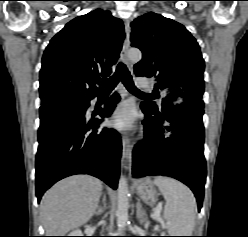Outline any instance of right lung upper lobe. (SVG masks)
Masks as SVG:
<instances>
[{
    "instance_id": "right-lung-upper-lobe-1",
    "label": "right lung upper lobe",
    "mask_w": 248,
    "mask_h": 237,
    "mask_svg": "<svg viewBox=\"0 0 248 237\" xmlns=\"http://www.w3.org/2000/svg\"><path fill=\"white\" fill-rule=\"evenodd\" d=\"M124 25L110 11L76 17L46 47L40 70L41 106L96 96L94 81L111 74L124 40Z\"/></svg>"
}]
</instances>
